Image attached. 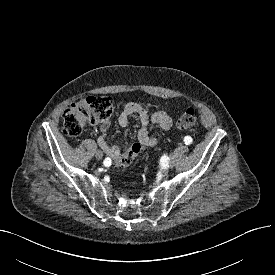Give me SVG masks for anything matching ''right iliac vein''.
I'll return each instance as SVG.
<instances>
[{
    "mask_svg": "<svg viewBox=\"0 0 275 275\" xmlns=\"http://www.w3.org/2000/svg\"><path fill=\"white\" fill-rule=\"evenodd\" d=\"M95 157H96V159L100 160L103 157V153L101 151H96L95 152Z\"/></svg>",
    "mask_w": 275,
    "mask_h": 275,
    "instance_id": "obj_1",
    "label": "right iliac vein"
}]
</instances>
